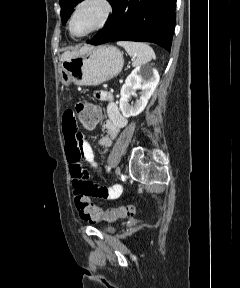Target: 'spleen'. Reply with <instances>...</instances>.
Instances as JSON below:
<instances>
[{"label": "spleen", "mask_w": 240, "mask_h": 288, "mask_svg": "<svg viewBox=\"0 0 240 288\" xmlns=\"http://www.w3.org/2000/svg\"><path fill=\"white\" fill-rule=\"evenodd\" d=\"M117 45L123 47L127 53L133 58L132 65L134 67L148 63L151 59H155L153 49L147 44L134 41H118Z\"/></svg>", "instance_id": "spleen-1"}]
</instances>
